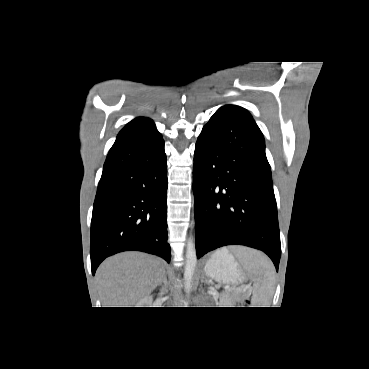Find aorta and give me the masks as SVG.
<instances>
[{
	"instance_id": "762f6f07",
	"label": "aorta",
	"mask_w": 369,
	"mask_h": 369,
	"mask_svg": "<svg viewBox=\"0 0 369 369\" xmlns=\"http://www.w3.org/2000/svg\"><path fill=\"white\" fill-rule=\"evenodd\" d=\"M197 263V255L195 244L191 239H189L187 243L186 249V264L184 269V280H185V289L189 291L191 287V281L193 277V273Z\"/></svg>"
}]
</instances>
